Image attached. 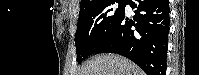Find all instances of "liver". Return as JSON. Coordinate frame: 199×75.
<instances>
[{
    "label": "liver",
    "instance_id": "6515ba94",
    "mask_svg": "<svg viewBox=\"0 0 199 75\" xmlns=\"http://www.w3.org/2000/svg\"><path fill=\"white\" fill-rule=\"evenodd\" d=\"M77 75H144V72L127 58L101 54L87 61Z\"/></svg>",
    "mask_w": 199,
    "mask_h": 75
}]
</instances>
